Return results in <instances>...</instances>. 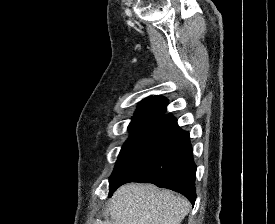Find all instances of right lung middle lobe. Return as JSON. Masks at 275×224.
Here are the masks:
<instances>
[{
	"instance_id": "dd1d6c3e",
	"label": "right lung middle lobe",
	"mask_w": 275,
	"mask_h": 224,
	"mask_svg": "<svg viewBox=\"0 0 275 224\" xmlns=\"http://www.w3.org/2000/svg\"><path fill=\"white\" fill-rule=\"evenodd\" d=\"M163 117V113L149 112L136 114L132 118V121L128 127V131L131 132V136L125 142L120 151L110 179L122 168L133 151Z\"/></svg>"
}]
</instances>
